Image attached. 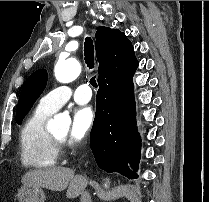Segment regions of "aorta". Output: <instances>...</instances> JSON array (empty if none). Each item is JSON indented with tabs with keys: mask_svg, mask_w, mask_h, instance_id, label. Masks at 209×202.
<instances>
[{
	"mask_svg": "<svg viewBox=\"0 0 209 202\" xmlns=\"http://www.w3.org/2000/svg\"><path fill=\"white\" fill-rule=\"evenodd\" d=\"M55 77L60 83H68L75 80L81 73V65L75 59H65L59 57L55 68ZM71 123L70 117L67 114H58L53 119L48 121L47 128L56 130L58 128L67 129Z\"/></svg>",
	"mask_w": 209,
	"mask_h": 202,
	"instance_id": "1",
	"label": "aorta"
}]
</instances>
